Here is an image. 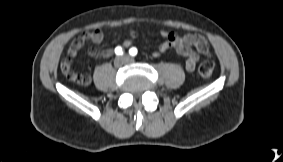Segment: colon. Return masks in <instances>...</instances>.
I'll use <instances>...</instances> for the list:
<instances>
[{
	"label": "colon",
	"instance_id": "obj_1",
	"mask_svg": "<svg viewBox=\"0 0 283 162\" xmlns=\"http://www.w3.org/2000/svg\"><path fill=\"white\" fill-rule=\"evenodd\" d=\"M215 64L212 60L206 59L202 61L198 66V73L203 78H210L214 72ZM65 76H67L69 79L75 81L78 84H88L90 81V75L89 74H74V73H64Z\"/></svg>",
	"mask_w": 283,
	"mask_h": 162
}]
</instances>
